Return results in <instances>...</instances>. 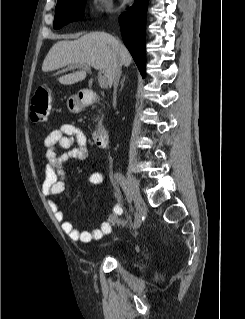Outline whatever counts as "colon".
<instances>
[{
  "label": "colon",
  "mask_w": 245,
  "mask_h": 319,
  "mask_svg": "<svg viewBox=\"0 0 245 319\" xmlns=\"http://www.w3.org/2000/svg\"><path fill=\"white\" fill-rule=\"evenodd\" d=\"M51 93L46 86L39 87L31 99V118L39 123L46 120L50 113Z\"/></svg>",
  "instance_id": "1"
}]
</instances>
